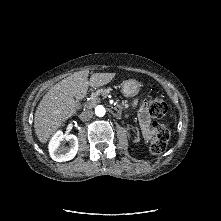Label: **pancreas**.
I'll return each instance as SVG.
<instances>
[{"label":"pancreas","instance_id":"pancreas-1","mask_svg":"<svg viewBox=\"0 0 221 221\" xmlns=\"http://www.w3.org/2000/svg\"><path fill=\"white\" fill-rule=\"evenodd\" d=\"M110 92V89H103V90H97L92 92V96L89 98V106H93L95 104H101L102 103V96H108ZM125 108H128V104H126V101L124 102Z\"/></svg>","mask_w":221,"mask_h":221}]
</instances>
